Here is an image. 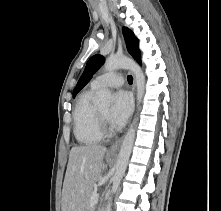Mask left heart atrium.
<instances>
[{
    "instance_id": "39dd6f15",
    "label": "left heart atrium",
    "mask_w": 221,
    "mask_h": 211,
    "mask_svg": "<svg viewBox=\"0 0 221 211\" xmlns=\"http://www.w3.org/2000/svg\"><path fill=\"white\" fill-rule=\"evenodd\" d=\"M133 108L131 95L125 90L115 93L114 103L109 112V120L115 127L123 126L129 118Z\"/></svg>"
}]
</instances>
